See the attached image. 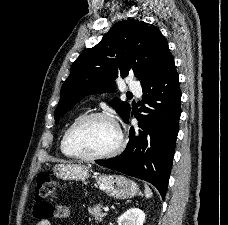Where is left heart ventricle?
Masks as SVG:
<instances>
[{
	"instance_id": "obj_1",
	"label": "left heart ventricle",
	"mask_w": 228,
	"mask_h": 225,
	"mask_svg": "<svg viewBox=\"0 0 228 225\" xmlns=\"http://www.w3.org/2000/svg\"><path fill=\"white\" fill-rule=\"evenodd\" d=\"M118 143L114 126L101 118L83 122L73 133L70 141L72 151L85 155H99L113 149Z\"/></svg>"
}]
</instances>
